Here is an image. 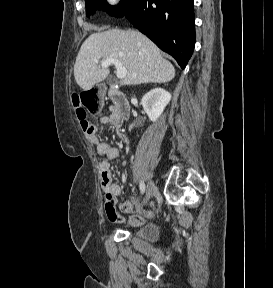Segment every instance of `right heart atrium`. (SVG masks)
<instances>
[{
    "instance_id": "d8ad5b80",
    "label": "right heart atrium",
    "mask_w": 273,
    "mask_h": 288,
    "mask_svg": "<svg viewBox=\"0 0 273 288\" xmlns=\"http://www.w3.org/2000/svg\"><path fill=\"white\" fill-rule=\"evenodd\" d=\"M110 6H117L120 0H106Z\"/></svg>"
}]
</instances>
